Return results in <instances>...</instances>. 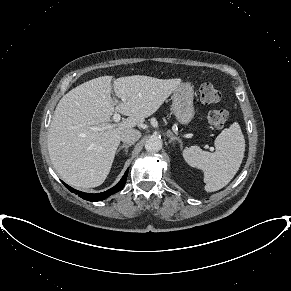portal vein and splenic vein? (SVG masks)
<instances>
[{"label":"portal vein and splenic vein","mask_w":291,"mask_h":291,"mask_svg":"<svg viewBox=\"0 0 291 291\" xmlns=\"http://www.w3.org/2000/svg\"><path fill=\"white\" fill-rule=\"evenodd\" d=\"M118 101L116 100V103H117ZM120 119H121V115L119 114V113H115L114 115H113V120L115 121V122H119L120 121ZM111 127H113V125H107L106 127H98V126H94V127H91V129L92 130H94V131H100V130H103V129H107V128H111Z\"/></svg>","instance_id":"18ae733b"}]
</instances>
